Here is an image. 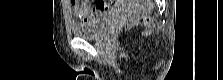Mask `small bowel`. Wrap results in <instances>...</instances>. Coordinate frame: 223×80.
<instances>
[{"label":"small bowel","mask_w":223,"mask_h":80,"mask_svg":"<svg viewBox=\"0 0 223 80\" xmlns=\"http://www.w3.org/2000/svg\"><path fill=\"white\" fill-rule=\"evenodd\" d=\"M72 9L76 17L81 20H89L103 13L110 11L114 4L112 2H96L95 7L91 8L87 2L79 4L72 1Z\"/></svg>","instance_id":"c3829d8e"}]
</instances>
